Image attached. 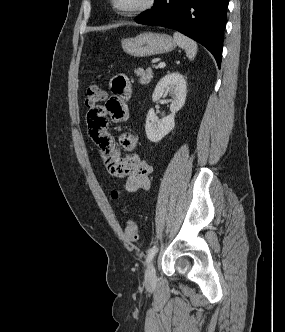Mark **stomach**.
Here are the masks:
<instances>
[{
  "label": "stomach",
  "instance_id": "0dacf381",
  "mask_svg": "<svg viewBox=\"0 0 285 332\" xmlns=\"http://www.w3.org/2000/svg\"><path fill=\"white\" fill-rule=\"evenodd\" d=\"M123 50L134 57H148L164 54L176 47L175 40L167 34L142 33L134 38H126L121 41Z\"/></svg>",
  "mask_w": 285,
  "mask_h": 332
}]
</instances>
